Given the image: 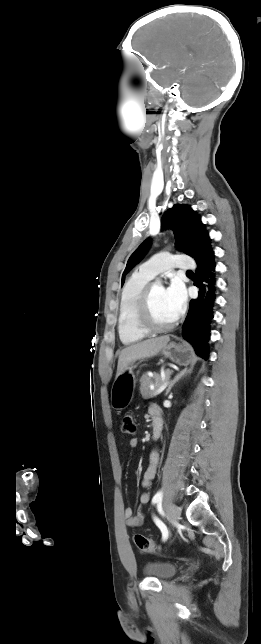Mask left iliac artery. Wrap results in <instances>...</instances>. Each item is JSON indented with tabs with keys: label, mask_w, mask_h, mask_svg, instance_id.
I'll return each instance as SVG.
<instances>
[{
	"label": "left iliac artery",
	"mask_w": 261,
	"mask_h": 644,
	"mask_svg": "<svg viewBox=\"0 0 261 644\" xmlns=\"http://www.w3.org/2000/svg\"><path fill=\"white\" fill-rule=\"evenodd\" d=\"M162 498H163V492H162V491H158V492L154 495V497L152 498V503H153V504H155V503H157V502H160V501H162ZM154 522H155V524L159 527V529H160V530H161V532H162V539H163V540H166V539L168 538V534H169V532H168V529H167L166 525H165L161 520H159L157 517H154Z\"/></svg>",
	"instance_id": "left-iliac-artery-1"
}]
</instances>
